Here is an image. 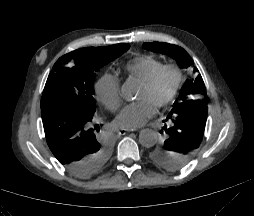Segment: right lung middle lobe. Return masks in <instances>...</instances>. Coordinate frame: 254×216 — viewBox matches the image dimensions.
Segmentation results:
<instances>
[{
  "label": "right lung middle lobe",
  "mask_w": 254,
  "mask_h": 216,
  "mask_svg": "<svg viewBox=\"0 0 254 216\" xmlns=\"http://www.w3.org/2000/svg\"><path fill=\"white\" fill-rule=\"evenodd\" d=\"M129 47L128 44H116L108 47L83 48L59 58L45 84L41 109L51 105H64L79 113L94 115L95 72L122 55ZM95 130L100 131L98 125ZM99 140L102 143V151L94 168L96 173L104 166L111 154L110 142L100 138Z\"/></svg>",
  "instance_id": "1"
}]
</instances>
